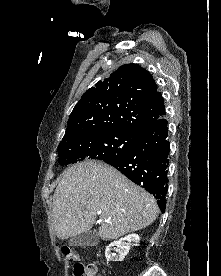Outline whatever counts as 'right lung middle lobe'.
Listing matches in <instances>:
<instances>
[{
  "instance_id": "dd1d6c3e",
  "label": "right lung middle lobe",
  "mask_w": 221,
  "mask_h": 276,
  "mask_svg": "<svg viewBox=\"0 0 221 276\" xmlns=\"http://www.w3.org/2000/svg\"><path fill=\"white\" fill-rule=\"evenodd\" d=\"M138 137L123 133H100L80 139L60 142L58 161L62 165L86 159L109 161L130 151Z\"/></svg>"
}]
</instances>
